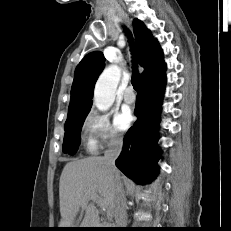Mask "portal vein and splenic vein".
I'll return each instance as SVG.
<instances>
[{"mask_svg": "<svg viewBox=\"0 0 231 231\" xmlns=\"http://www.w3.org/2000/svg\"><path fill=\"white\" fill-rule=\"evenodd\" d=\"M89 199L92 200L93 202H96L100 207H103L102 201L99 199V197L96 194L90 196Z\"/></svg>", "mask_w": 231, "mask_h": 231, "instance_id": "portal-vein-and-splenic-vein-1", "label": "portal vein and splenic vein"}]
</instances>
